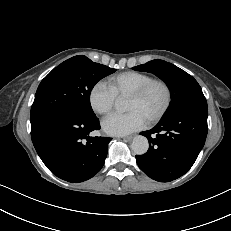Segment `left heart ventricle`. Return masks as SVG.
<instances>
[{
  "instance_id": "left-heart-ventricle-1",
  "label": "left heart ventricle",
  "mask_w": 231,
  "mask_h": 231,
  "mask_svg": "<svg viewBox=\"0 0 231 231\" xmlns=\"http://www.w3.org/2000/svg\"><path fill=\"white\" fill-rule=\"evenodd\" d=\"M164 99V90L160 86H154L143 99L136 100L129 97L127 99L126 110L138 111L148 119L160 110Z\"/></svg>"
}]
</instances>
